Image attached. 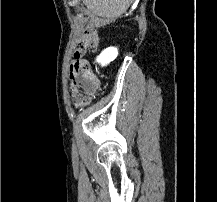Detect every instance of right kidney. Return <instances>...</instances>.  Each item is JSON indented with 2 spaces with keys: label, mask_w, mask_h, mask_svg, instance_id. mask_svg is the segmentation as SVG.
<instances>
[{
  "label": "right kidney",
  "mask_w": 217,
  "mask_h": 202,
  "mask_svg": "<svg viewBox=\"0 0 217 202\" xmlns=\"http://www.w3.org/2000/svg\"><path fill=\"white\" fill-rule=\"evenodd\" d=\"M117 56V48H106V50H103L100 56H98L97 62L98 64H102V66H106V64H109V62H113Z\"/></svg>",
  "instance_id": "ca27d5eb"
}]
</instances>
